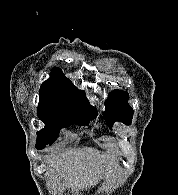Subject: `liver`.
Here are the masks:
<instances>
[{"instance_id":"6515ba94","label":"liver","mask_w":178,"mask_h":195,"mask_svg":"<svg viewBox=\"0 0 178 195\" xmlns=\"http://www.w3.org/2000/svg\"><path fill=\"white\" fill-rule=\"evenodd\" d=\"M101 157L96 150L84 148L49 156L47 162L55 185L78 190L98 183L103 173Z\"/></svg>"}]
</instances>
